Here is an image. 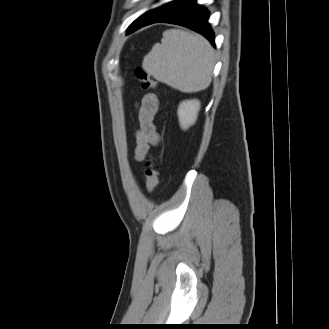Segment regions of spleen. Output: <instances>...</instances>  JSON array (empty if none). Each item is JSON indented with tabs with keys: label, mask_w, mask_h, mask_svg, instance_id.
I'll use <instances>...</instances> for the list:
<instances>
[{
	"label": "spleen",
	"mask_w": 329,
	"mask_h": 329,
	"mask_svg": "<svg viewBox=\"0 0 329 329\" xmlns=\"http://www.w3.org/2000/svg\"><path fill=\"white\" fill-rule=\"evenodd\" d=\"M142 66L154 79L174 89L198 92L210 85L214 51L200 35L170 29L144 57Z\"/></svg>",
	"instance_id": "obj_1"
}]
</instances>
